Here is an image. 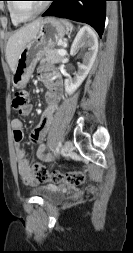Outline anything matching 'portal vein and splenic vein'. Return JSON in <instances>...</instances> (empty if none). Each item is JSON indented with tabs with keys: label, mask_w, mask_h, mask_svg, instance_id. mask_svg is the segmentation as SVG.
I'll return each instance as SVG.
<instances>
[{
	"label": "portal vein and splenic vein",
	"mask_w": 133,
	"mask_h": 253,
	"mask_svg": "<svg viewBox=\"0 0 133 253\" xmlns=\"http://www.w3.org/2000/svg\"><path fill=\"white\" fill-rule=\"evenodd\" d=\"M58 54L64 56V55H66V50H64V49H59V50H58Z\"/></svg>",
	"instance_id": "18ae733b"
}]
</instances>
